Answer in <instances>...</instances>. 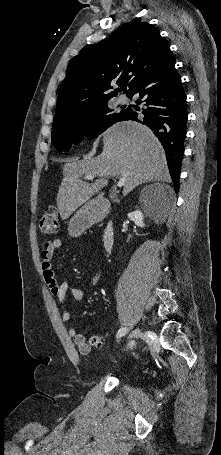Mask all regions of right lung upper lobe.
<instances>
[{
  "label": "right lung upper lobe",
  "instance_id": "1",
  "mask_svg": "<svg viewBox=\"0 0 221 455\" xmlns=\"http://www.w3.org/2000/svg\"><path fill=\"white\" fill-rule=\"evenodd\" d=\"M170 49L159 31L131 22L109 38L84 47L67 68L58 94L54 123L117 96H129L136 84ZM121 86L110 93L113 83Z\"/></svg>",
  "mask_w": 221,
  "mask_h": 455
}]
</instances>
